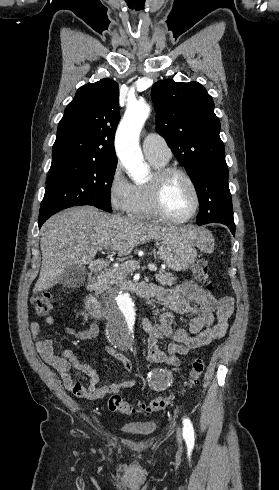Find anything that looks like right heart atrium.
Listing matches in <instances>:
<instances>
[{"label":"right heart atrium","mask_w":279,"mask_h":490,"mask_svg":"<svg viewBox=\"0 0 279 490\" xmlns=\"http://www.w3.org/2000/svg\"><path fill=\"white\" fill-rule=\"evenodd\" d=\"M107 187L113 212L119 216L131 215L138 203L136 186L126 176L120 162L115 163Z\"/></svg>","instance_id":"obj_1"}]
</instances>
